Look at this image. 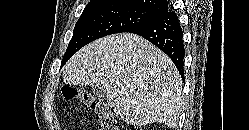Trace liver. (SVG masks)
I'll use <instances>...</instances> for the list:
<instances>
[{"instance_id":"1","label":"liver","mask_w":249,"mask_h":130,"mask_svg":"<svg viewBox=\"0 0 249 130\" xmlns=\"http://www.w3.org/2000/svg\"><path fill=\"white\" fill-rule=\"evenodd\" d=\"M63 81L103 85L108 105L128 124L178 126L180 74L166 54L138 35L115 34L86 45L65 65Z\"/></svg>"}]
</instances>
